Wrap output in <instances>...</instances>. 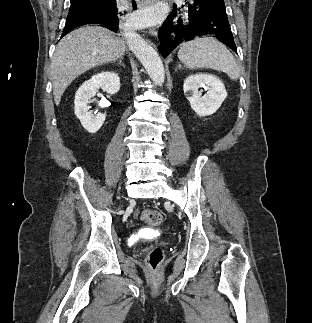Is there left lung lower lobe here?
Wrapping results in <instances>:
<instances>
[{
	"label": "left lung lower lobe",
	"mask_w": 312,
	"mask_h": 323,
	"mask_svg": "<svg viewBox=\"0 0 312 323\" xmlns=\"http://www.w3.org/2000/svg\"><path fill=\"white\" fill-rule=\"evenodd\" d=\"M173 13L159 29V52L163 57L183 41L212 36L237 52L225 11L224 0H193Z\"/></svg>",
	"instance_id": "obj_1"
}]
</instances>
